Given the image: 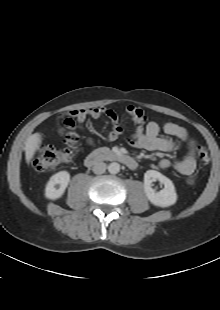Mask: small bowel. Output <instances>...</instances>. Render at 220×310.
Wrapping results in <instances>:
<instances>
[{"mask_svg": "<svg viewBox=\"0 0 220 310\" xmlns=\"http://www.w3.org/2000/svg\"><path fill=\"white\" fill-rule=\"evenodd\" d=\"M127 112L136 124L134 132L126 138L128 144L134 148L148 151L171 152L177 149L180 143L188 144L190 142L189 133L182 126L171 122H167L162 126L155 121L146 123L147 118L145 112L136 106H128ZM70 116L81 127L88 118L106 116L111 123L107 139L113 141L123 135V128L119 123L117 115L107 108L90 107L77 109L71 111ZM161 129L171 138L161 137ZM58 132L62 134L63 129L59 127ZM89 143L92 144V140H89ZM159 167L164 170L173 167L177 172L186 177L187 183H193L196 170V156L193 145L190 146L186 156L181 161L173 164L169 159L163 158L159 161Z\"/></svg>", "mask_w": 220, "mask_h": 310, "instance_id": "c3829d8e", "label": "small bowel"}]
</instances>
